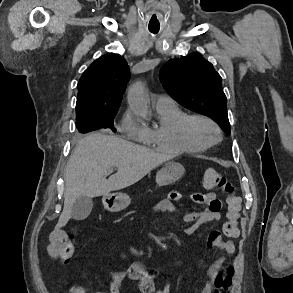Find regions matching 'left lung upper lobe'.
I'll return each instance as SVG.
<instances>
[{"label":"left lung upper lobe","instance_id":"1","mask_svg":"<svg viewBox=\"0 0 293 293\" xmlns=\"http://www.w3.org/2000/svg\"><path fill=\"white\" fill-rule=\"evenodd\" d=\"M159 76L163 87L178 103L212 118L223 131L230 133L222 79L200 53L169 60Z\"/></svg>","mask_w":293,"mask_h":293}]
</instances>
